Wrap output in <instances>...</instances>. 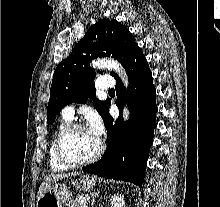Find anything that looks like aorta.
<instances>
[{
    "mask_svg": "<svg viewBox=\"0 0 220 207\" xmlns=\"http://www.w3.org/2000/svg\"><path fill=\"white\" fill-rule=\"evenodd\" d=\"M91 66L94 69H99V70L101 69L113 70L121 76L122 80L125 83H127V76L124 68L118 61L114 59H107V58L97 59L92 62ZM124 115L125 118H128V108H125Z\"/></svg>",
    "mask_w": 220,
    "mask_h": 207,
    "instance_id": "aorta-1",
    "label": "aorta"
}]
</instances>
